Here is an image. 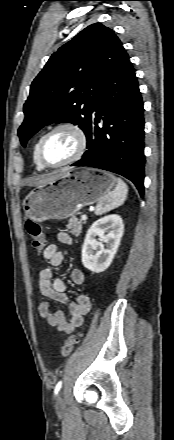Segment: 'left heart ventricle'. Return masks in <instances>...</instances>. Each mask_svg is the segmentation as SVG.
<instances>
[{
    "mask_svg": "<svg viewBox=\"0 0 174 440\" xmlns=\"http://www.w3.org/2000/svg\"><path fill=\"white\" fill-rule=\"evenodd\" d=\"M76 148V136L70 131L59 130L46 139L42 154L46 163L56 165L71 157Z\"/></svg>",
    "mask_w": 174,
    "mask_h": 440,
    "instance_id": "b2bd125f",
    "label": "left heart ventricle"
}]
</instances>
